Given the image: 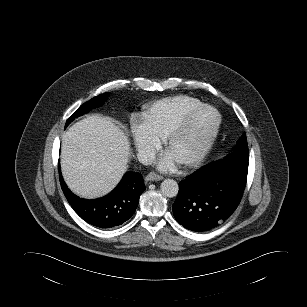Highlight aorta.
<instances>
[{"label": "aorta", "instance_id": "1", "mask_svg": "<svg viewBox=\"0 0 307 307\" xmlns=\"http://www.w3.org/2000/svg\"><path fill=\"white\" fill-rule=\"evenodd\" d=\"M160 188L162 194L169 198L175 197L179 191L178 183L173 179H165Z\"/></svg>", "mask_w": 307, "mask_h": 307}]
</instances>
